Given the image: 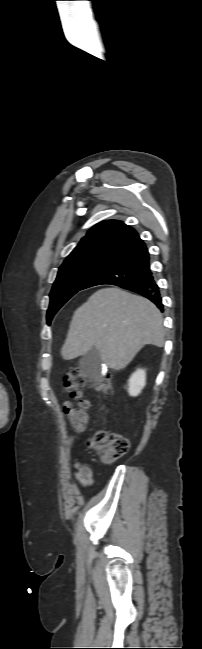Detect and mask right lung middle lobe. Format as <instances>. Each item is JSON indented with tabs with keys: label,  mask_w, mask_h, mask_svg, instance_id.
I'll use <instances>...</instances> for the list:
<instances>
[{
	"label": "right lung middle lobe",
	"mask_w": 202,
	"mask_h": 649,
	"mask_svg": "<svg viewBox=\"0 0 202 649\" xmlns=\"http://www.w3.org/2000/svg\"><path fill=\"white\" fill-rule=\"evenodd\" d=\"M113 256L115 255L107 252H89L65 259L50 293L48 324L59 308L81 290L87 280Z\"/></svg>",
	"instance_id": "1"
}]
</instances>
